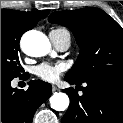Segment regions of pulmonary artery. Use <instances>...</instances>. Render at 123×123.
I'll return each mask as SVG.
<instances>
[{
    "label": "pulmonary artery",
    "mask_w": 123,
    "mask_h": 123,
    "mask_svg": "<svg viewBox=\"0 0 123 123\" xmlns=\"http://www.w3.org/2000/svg\"><path fill=\"white\" fill-rule=\"evenodd\" d=\"M49 38L53 45L60 51H65L71 43V36L67 30L55 29L49 33Z\"/></svg>",
    "instance_id": "obj_1"
}]
</instances>
